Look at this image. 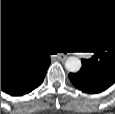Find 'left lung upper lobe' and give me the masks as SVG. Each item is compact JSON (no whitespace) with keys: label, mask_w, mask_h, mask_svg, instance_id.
Returning <instances> with one entry per match:
<instances>
[{"label":"left lung upper lobe","mask_w":115,"mask_h":114,"mask_svg":"<svg viewBox=\"0 0 115 114\" xmlns=\"http://www.w3.org/2000/svg\"><path fill=\"white\" fill-rule=\"evenodd\" d=\"M87 50L93 55L90 59L81 60V70L96 72L115 79V25L93 38Z\"/></svg>","instance_id":"obj_1"}]
</instances>
